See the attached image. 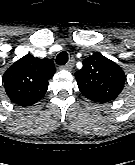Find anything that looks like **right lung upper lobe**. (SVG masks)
I'll return each instance as SVG.
<instances>
[{
  "label": "right lung upper lobe",
  "mask_w": 135,
  "mask_h": 165,
  "mask_svg": "<svg viewBox=\"0 0 135 165\" xmlns=\"http://www.w3.org/2000/svg\"><path fill=\"white\" fill-rule=\"evenodd\" d=\"M54 73L50 59L25 55L4 73L5 91L12 102L23 107L33 105L44 96Z\"/></svg>",
  "instance_id": "cb5924a9"
}]
</instances>
